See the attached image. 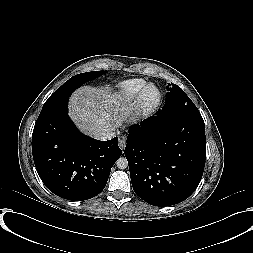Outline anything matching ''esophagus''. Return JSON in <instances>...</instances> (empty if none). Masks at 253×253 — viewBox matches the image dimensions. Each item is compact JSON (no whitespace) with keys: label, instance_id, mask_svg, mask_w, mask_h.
Listing matches in <instances>:
<instances>
[{"label":"esophagus","instance_id":"1","mask_svg":"<svg viewBox=\"0 0 253 253\" xmlns=\"http://www.w3.org/2000/svg\"><path fill=\"white\" fill-rule=\"evenodd\" d=\"M118 145L119 147L124 150L125 146H126V136L122 135L119 137V140H118Z\"/></svg>","mask_w":253,"mask_h":253}]
</instances>
